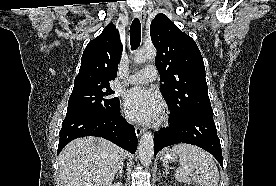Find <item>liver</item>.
Returning a JSON list of instances; mask_svg holds the SVG:
<instances>
[{"instance_id": "liver-1", "label": "liver", "mask_w": 276, "mask_h": 186, "mask_svg": "<svg viewBox=\"0 0 276 186\" xmlns=\"http://www.w3.org/2000/svg\"><path fill=\"white\" fill-rule=\"evenodd\" d=\"M126 157L123 149L106 139H75L58 157L63 186H111Z\"/></svg>"}]
</instances>
